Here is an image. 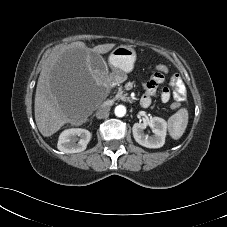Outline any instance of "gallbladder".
Masks as SVG:
<instances>
[{
	"label": "gallbladder",
	"instance_id": "bac80fb5",
	"mask_svg": "<svg viewBox=\"0 0 227 227\" xmlns=\"http://www.w3.org/2000/svg\"><path fill=\"white\" fill-rule=\"evenodd\" d=\"M90 62H91V66L93 67L95 72L101 73V74H104L107 72L108 67L100 55L91 53Z\"/></svg>",
	"mask_w": 227,
	"mask_h": 227
}]
</instances>
